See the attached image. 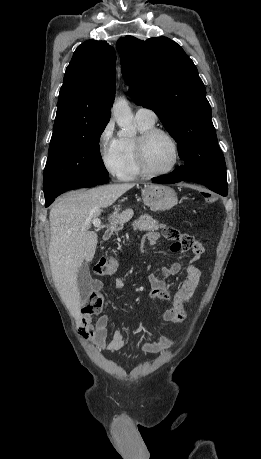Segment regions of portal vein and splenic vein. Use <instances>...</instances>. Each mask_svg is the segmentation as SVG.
I'll list each match as a JSON object with an SVG mask.
<instances>
[{
  "mask_svg": "<svg viewBox=\"0 0 261 459\" xmlns=\"http://www.w3.org/2000/svg\"><path fill=\"white\" fill-rule=\"evenodd\" d=\"M92 224L96 227V228H101L102 225H101V220L99 218H93L92 219Z\"/></svg>",
  "mask_w": 261,
  "mask_h": 459,
  "instance_id": "1",
  "label": "portal vein and splenic vein"
}]
</instances>
